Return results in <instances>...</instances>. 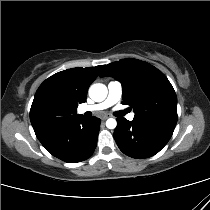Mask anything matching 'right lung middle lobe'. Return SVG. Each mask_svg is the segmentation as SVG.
<instances>
[{"label": "right lung middle lobe", "instance_id": "1", "mask_svg": "<svg viewBox=\"0 0 210 210\" xmlns=\"http://www.w3.org/2000/svg\"><path fill=\"white\" fill-rule=\"evenodd\" d=\"M58 122L54 111H48L41 114L36 121V128L38 130H46L54 126Z\"/></svg>", "mask_w": 210, "mask_h": 210}]
</instances>
